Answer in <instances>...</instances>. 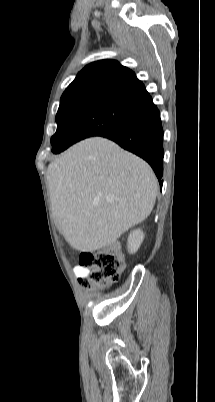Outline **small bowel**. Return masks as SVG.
Segmentation results:
<instances>
[{
	"label": "small bowel",
	"mask_w": 215,
	"mask_h": 402,
	"mask_svg": "<svg viewBox=\"0 0 215 402\" xmlns=\"http://www.w3.org/2000/svg\"><path fill=\"white\" fill-rule=\"evenodd\" d=\"M88 273H89L88 268H85V267H82V266H76L74 268V274L79 279H83V278L87 277Z\"/></svg>",
	"instance_id": "1"
}]
</instances>
